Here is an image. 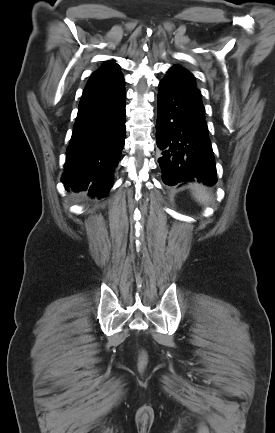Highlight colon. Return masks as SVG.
Returning a JSON list of instances; mask_svg holds the SVG:
<instances>
[{
	"label": "colon",
	"mask_w": 275,
	"mask_h": 433,
	"mask_svg": "<svg viewBox=\"0 0 275 433\" xmlns=\"http://www.w3.org/2000/svg\"><path fill=\"white\" fill-rule=\"evenodd\" d=\"M145 366H146V357L144 354H142L139 360V368L143 370Z\"/></svg>",
	"instance_id": "1"
}]
</instances>
